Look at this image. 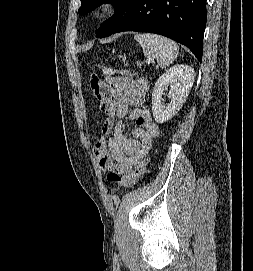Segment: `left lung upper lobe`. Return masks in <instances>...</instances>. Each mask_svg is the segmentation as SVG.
Here are the masks:
<instances>
[{
    "instance_id": "obj_1",
    "label": "left lung upper lobe",
    "mask_w": 253,
    "mask_h": 271,
    "mask_svg": "<svg viewBox=\"0 0 253 271\" xmlns=\"http://www.w3.org/2000/svg\"><path fill=\"white\" fill-rule=\"evenodd\" d=\"M106 0H81V7L78 12L86 14L94 10L99 5L103 4ZM115 7L116 13L105 21L98 30L97 37L103 38L111 35L129 16L133 9L134 0H109Z\"/></svg>"
}]
</instances>
